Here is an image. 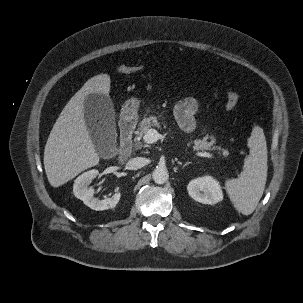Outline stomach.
Returning <instances> with one entry per match:
<instances>
[{"instance_id": "1", "label": "stomach", "mask_w": 303, "mask_h": 303, "mask_svg": "<svg viewBox=\"0 0 303 303\" xmlns=\"http://www.w3.org/2000/svg\"><path fill=\"white\" fill-rule=\"evenodd\" d=\"M139 105L140 100L137 98L127 100L122 108V116L126 119L134 118L137 115Z\"/></svg>"}]
</instances>
